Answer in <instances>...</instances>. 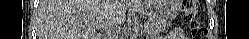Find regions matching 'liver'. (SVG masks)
Masks as SVG:
<instances>
[{
    "mask_svg": "<svg viewBox=\"0 0 249 39\" xmlns=\"http://www.w3.org/2000/svg\"><path fill=\"white\" fill-rule=\"evenodd\" d=\"M126 0H41L39 39H96V30L125 20Z\"/></svg>",
    "mask_w": 249,
    "mask_h": 39,
    "instance_id": "obj_1",
    "label": "liver"
}]
</instances>
